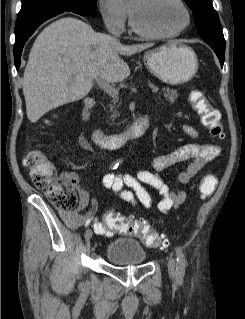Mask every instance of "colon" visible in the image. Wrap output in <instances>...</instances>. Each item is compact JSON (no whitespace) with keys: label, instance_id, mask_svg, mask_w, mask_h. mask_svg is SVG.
<instances>
[{"label":"colon","instance_id":"5ec220e1","mask_svg":"<svg viewBox=\"0 0 245 319\" xmlns=\"http://www.w3.org/2000/svg\"><path fill=\"white\" fill-rule=\"evenodd\" d=\"M191 103L199 115L201 123L216 138L224 137L221 117L208 99L200 91L191 93ZM25 165L35 186L43 191L51 204L61 211H71L78 203V197L70 182V175L58 176L54 166L39 152L31 151L25 157ZM217 185L215 175L209 173L201 181L200 191L206 197L212 194ZM106 226L120 233L137 236L147 247L156 248L164 245L159 234L149 223L142 219H134L119 213L108 211L104 215Z\"/></svg>","mask_w":245,"mask_h":319}]
</instances>
